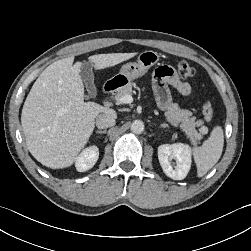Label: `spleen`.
Here are the masks:
<instances>
[{"label": "spleen", "instance_id": "1", "mask_svg": "<svg viewBox=\"0 0 251 251\" xmlns=\"http://www.w3.org/2000/svg\"><path fill=\"white\" fill-rule=\"evenodd\" d=\"M224 145V133L221 126H215L202 146L193 150L197 166V176H204L220 159Z\"/></svg>", "mask_w": 251, "mask_h": 251}]
</instances>
